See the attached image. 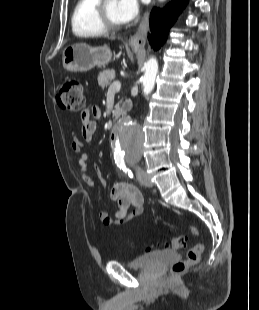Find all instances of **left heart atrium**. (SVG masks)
<instances>
[{
	"mask_svg": "<svg viewBox=\"0 0 259 310\" xmlns=\"http://www.w3.org/2000/svg\"><path fill=\"white\" fill-rule=\"evenodd\" d=\"M139 12V0H118L117 15L121 23L131 22Z\"/></svg>",
	"mask_w": 259,
	"mask_h": 310,
	"instance_id": "left-heart-atrium-1",
	"label": "left heart atrium"
}]
</instances>
